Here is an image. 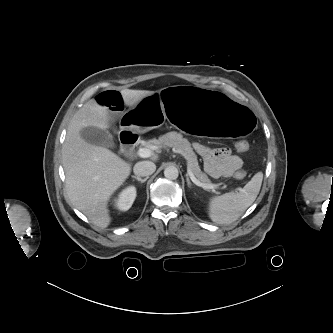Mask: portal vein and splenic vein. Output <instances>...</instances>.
Returning <instances> with one entry per match:
<instances>
[{
    "label": "portal vein and splenic vein",
    "instance_id": "18ae733b",
    "mask_svg": "<svg viewBox=\"0 0 333 333\" xmlns=\"http://www.w3.org/2000/svg\"><path fill=\"white\" fill-rule=\"evenodd\" d=\"M138 155L141 157V158H147V157H150L152 154H151V150L150 149H147V148H140L138 150ZM188 175L190 177V179L192 180V182L194 184H196L197 186L199 187H202L203 189H209V190H214L217 188V185H214V184H207V183H203L201 182L199 179H197L194 174L188 169ZM237 190H241L239 188L236 189Z\"/></svg>",
    "mask_w": 333,
    "mask_h": 333
}]
</instances>
